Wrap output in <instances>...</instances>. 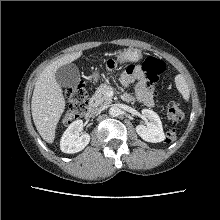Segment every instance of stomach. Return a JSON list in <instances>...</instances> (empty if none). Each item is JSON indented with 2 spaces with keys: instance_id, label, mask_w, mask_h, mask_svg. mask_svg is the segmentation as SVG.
<instances>
[{
  "instance_id": "obj_1",
  "label": "stomach",
  "mask_w": 220,
  "mask_h": 220,
  "mask_svg": "<svg viewBox=\"0 0 220 220\" xmlns=\"http://www.w3.org/2000/svg\"><path fill=\"white\" fill-rule=\"evenodd\" d=\"M141 58V54L138 50L136 49H127L120 53L118 56V62L123 63V62H136ZM95 77H98V74H95Z\"/></svg>"
}]
</instances>
